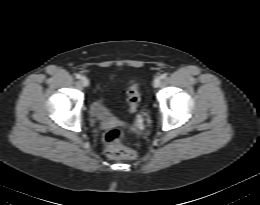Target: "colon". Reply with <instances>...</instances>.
Masks as SVG:
<instances>
[{"label":"colon","instance_id":"1","mask_svg":"<svg viewBox=\"0 0 260 205\" xmlns=\"http://www.w3.org/2000/svg\"><path fill=\"white\" fill-rule=\"evenodd\" d=\"M127 100L130 112L135 113L140 103L138 82L133 81L130 83L127 90ZM123 139L124 132L122 129L114 128L109 130L104 136L107 155L112 158L135 159L137 153L134 150L125 148L122 143Z\"/></svg>","mask_w":260,"mask_h":205}]
</instances>
